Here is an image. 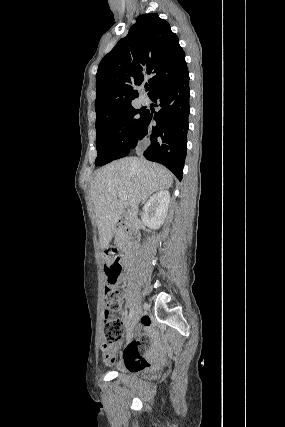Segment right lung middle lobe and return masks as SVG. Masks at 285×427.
<instances>
[{
    "mask_svg": "<svg viewBox=\"0 0 285 427\" xmlns=\"http://www.w3.org/2000/svg\"><path fill=\"white\" fill-rule=\"evenodd\" d=\"M146 112L124 108L96 125V166L127 156L138 144Z\"/></svg>",
    "mask_w": 285,
    "mask_h": 427,
    "instance_id": "right-lung-middle-lobe-1",
    "label": "right lung middle lobe"
}]
</instances>
